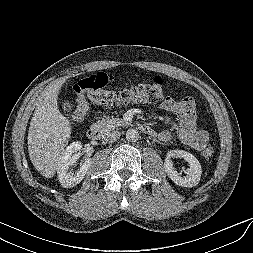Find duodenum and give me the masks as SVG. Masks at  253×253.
I'll return each instance as SVG.
<instances>
[{"mask_svg":"<svg viewBox=\"0 0 253 253\" xmlns=\"http://www.w3.org/2000/svg\"><path fill=\"white\" fill-rule=\"evenodd\" d=\"M140 129L143 133L148 134V135H153L154 132L152 128L146 124H142L140 126ZM101 136V130L97 125H92L87 131V137L90 140H98Z\"/></svg>","mask_w":253,"mask_h":253,"instance_id":"1","label":"duodenum"}]
</instances>
